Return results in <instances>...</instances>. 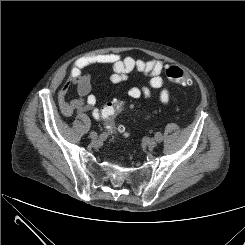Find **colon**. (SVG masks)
Listing matches in <instances>:
<instances>
[{"label":"colon","mask_w":245,"mask_h":245,"mask_svg":"<svg viewBox=\"0 0 245 245\" xmlns=\"http://www.w3.org/2000/svg\"><path fill=\"white\" fill-rule=\"evenodd\" d=\"M166 76L170 81L177 84H181V85L192 84V80L188 75V73L178 66L168 67L166 69ZM123 108H124V102L120 100H113L107 103L102 109V117L105 119L107 129L110 132H115L125 137L128 134L125 127L121 124H115L113 120L116 113H118Z\"/></svg>","instance_id":"colon-1"}]
</instances>
